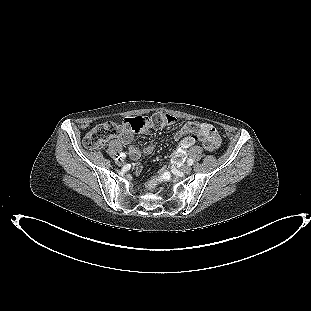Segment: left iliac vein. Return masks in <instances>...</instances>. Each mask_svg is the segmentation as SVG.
Returning <instances> with one entry per match:
<instances>
[{
    "label": "left iliac vein",
    "mask_w": 311,
    "mask_h": 311,
    "mask_svg": "<svg viewBox=\"0 0 311 311\" xmlns=\"http://www.w3.org/2000/svg\"><path fill=\"white\" fill-rule=\"evenodd\" d=\"M191 170H192V168H191L190 165H185V166H183V167L180 169V171H181L182 173H185V174L190 173Z\"/></svg>",
    "instance_id": "left-iliac-vein-1"
}]
</instances>
